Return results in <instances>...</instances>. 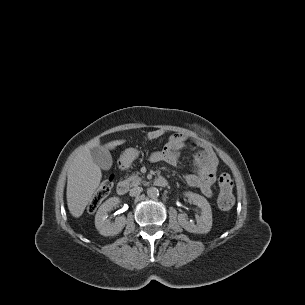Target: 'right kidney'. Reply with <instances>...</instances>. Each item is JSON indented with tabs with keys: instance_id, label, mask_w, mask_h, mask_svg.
Returning a JSON list of instances; mask_svg holds the SVG:
<instances>
[{
	"instance_id": "right-kidney-1",
	"label": "right kidney",
	"mask_w": 305,
	"mask_h": 305,
	"mask_svg": "<svg viewBox=\"0 0 305 305\" xmlns=\"http://www.w3.org/2000/svg\"><path fill=\"white\" fill-rule=\"evenodd\" d=\"M120 203L118 197H111L106 200L98 209L95 215V227L99 233L103 236H114L119 234L125 227L126 218L120 216L115 219V222H111L108 217V212L113 209L114 206Z\"/></svg>"
}]
</instances>
